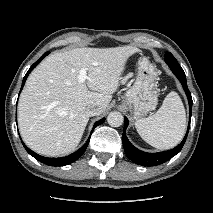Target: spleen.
<instances>
[{"instance_id":"spleen-1","label":"spleen","mask_w":213,"mask_h":213,"mask_svg":"<svg viewBox=\"0 0 213 213\" xmlns=\"http://www.w3.org/2000/svg\"><path fill=\"white\" fill-rule=\"evenodd\" d=\"M135 127L141 138L157 149L176 146L186 130V114L179 95L170 92L159 110L154 115L138 119Z\"/></svg>"}]
</instances>
